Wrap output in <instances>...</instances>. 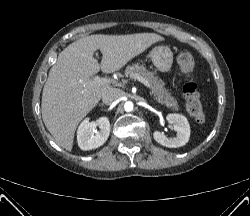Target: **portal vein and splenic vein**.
<instances>
[{
  "label": "portal vein and splenic vein",
  "instance_id": "18ae733b",
  "mask_svg": "<svg viewBox=\"0 0 250 216\" xmlns=\"http://www.w3.org/2000/svg\"><path fill=\"white\" fill-rule=\"evenodd\" d=\"M132 78H134L135 80L141 82L147 88L151 89V85L142 76H140L138 74H132ZM111 83H115V80L111 79V78L108 79V78H103V77H100V76H96V77L93 78V80H90V81L86 82L84 84V86L91 85V86L99 87V86H103V85L111 84Z\"/></svg>",
  "mask_w": 250,
  "mask_h": 216
}]
</instances>
